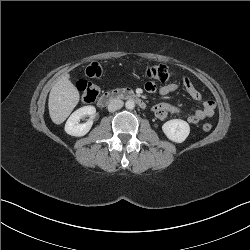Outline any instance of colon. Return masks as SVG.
<instances>
[{"label":"colon","mask_w":250,"mask_h":250,"mask_svg":"<svg viewBox=\"0 0 250 250\" xmlns=\"http://www.w3.org/2000/svg\"><path fill=\"white\" fill-rule=\"evenodd\" d=\"M102 72V66L98 62L90 63L85 70V74L89 78H98L102 75ZM146 75L148 78L160 82H166L175 77V73L168 66L163 64L150 66L146 71ZM77 88L81 93L83 102L85 103L94 102L100 93L99 88L87 80H79L77 82ZM202 128L204 131L208 132L212 129V125L210 123H204Z\"/></svg>","instance_id":"obj_1"}]
</instances>
